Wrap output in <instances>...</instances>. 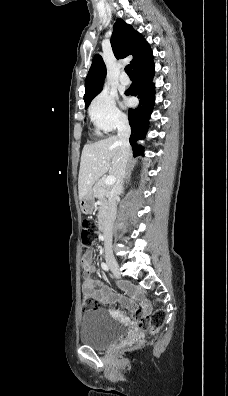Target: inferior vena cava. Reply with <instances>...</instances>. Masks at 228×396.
<instances>
[{"label":"inferior vena cava","mask_w":228,"mask_h":396,"mask_svg":"<svg viewBox=\"0 0 228 396\" xmlns=\"http://www.w3.org/2000/svg\"><path fill=\"white\" fill-rule=\"evenodd\" d=\"M118 138L122 146L121 163L118 173L116 184L112 189V193L108 204V223L104 231L105 239V253L112 254V226L116 217V200L118 195L123 192V178L126 175V166L128 157L131 152L129 143V137L131 134V128L127 119H120L118 121Z\"/></svg>","instance_id":"602c4592"}]
</instances>
